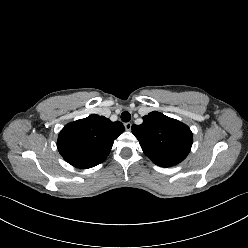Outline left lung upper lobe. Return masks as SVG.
<instances>
[{"label":"left lung upper lobe","mask_w":248,"mask_h":248,"mask_svg":"<svg viewBox=\"0 0 248 248\" xmlns=\"http://www.w3.org/2000/svg\"><path fill=\"white\" fill-rule=\"evenodd\" d=\"M132 133L144 153L161 167H171L183 161L193 143L187 125L157 111L144 116L142 124H134Z\"/></svg>","instance_id":"left-lung-upper-lobe-1"}]
</instances>
